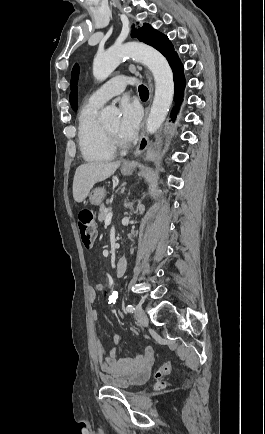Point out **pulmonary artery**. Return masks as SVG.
<instances>
[{
	"instance_id": "pulmonary-artery-1",
	"label": "pulmonary artery",
	"mask_w": 265,
	"mask_h": 434,
	"mask_svg": "<svg viewBox=\"0 0 265 434\" xmlns=\"http://www.w3.org/2000/svg\"><path fill=\"white\" fill-rule=\"evenodd\" d=\"M138 81V78H135ZM130 82L129 75H117L108 81L104 82V85L97 87L90 95L89 100L91 103L104 104L109 96L121 93L126 90Z\"/></svg>"
}]
</instances>
